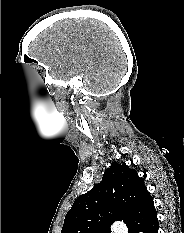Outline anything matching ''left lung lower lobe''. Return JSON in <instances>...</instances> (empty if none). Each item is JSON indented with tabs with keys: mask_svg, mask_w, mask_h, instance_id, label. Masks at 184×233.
<instances>
[{
	"mask_svg": "<svg viewBox=\"0 0 184 233\" xmlns=\"http://www.w3.org/2000/svg\"><path fill=\"white\" fill-rule=\"evenodd\" d=\"M126 225L128 233H158L157 212L149 192L138 203Z\"/></svg>",
	"mask_w": 184,
	"mask_h": 233,
	"instance_id": "0a47b994",
	"label": "left lung lower lobe"
}]
</instances>
